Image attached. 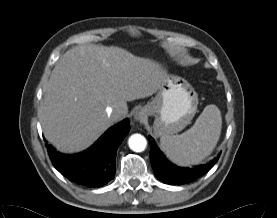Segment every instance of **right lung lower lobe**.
<instances>
[{"label": "right lung lower lobe", "instance_id": "98d812e1", "mask_svg": "<svg viewBox=\"0 0 277 218\" xmlns=\"http://www.w3.org/2000/svg\"><path fill=\"white\" fill-rule=\"evenodd\" d=\"M129 119L108 129L88 150L65 155L47 145V151L55 168L79 185L101 187L115 176L118 146L130 130Z\"/></svg>", "mask_w": 277, "mask_h": 218}]
</instances>
